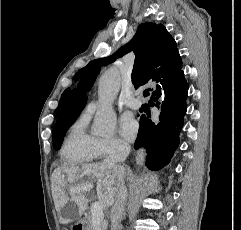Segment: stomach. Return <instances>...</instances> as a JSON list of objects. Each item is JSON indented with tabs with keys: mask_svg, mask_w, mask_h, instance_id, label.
Masks as SVG:
<instances>
[{
	"mask_svg": "<svg viewBox=\"0 0 241 230\" xmlns=\"http://www.w3.org/2000/svg\"><path fill=\"white\" fill-rule=\"evenodd\" d=\"M79 230H91L90 225L87 223L86 219H81L75 225Z\"/></svg>",
	"mask_w": 241,
	"mask_h": 230,
	"instance_id": "obj_1",
	"label": "stomach"
}]
</instances>
